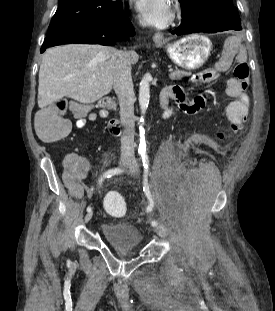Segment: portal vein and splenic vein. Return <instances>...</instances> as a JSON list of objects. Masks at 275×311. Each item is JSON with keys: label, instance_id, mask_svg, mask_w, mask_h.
Masks as SVG:
<instances>
[{"label": "portal vein and splenic vein", "instance_id": "1", "mask_svg": "<svg viewBox=\"0 0 275 311\" xmlns=\"http://www.w3.org/2000/svg\"><path fill=\"white\" fill-rule=\"evenodd\" d=\"M168 71L172 73V72H173V69H172V68H169V70H168Z\"/></svg>", "mask_w": 275, "mask_h": 311}]
</instances>
